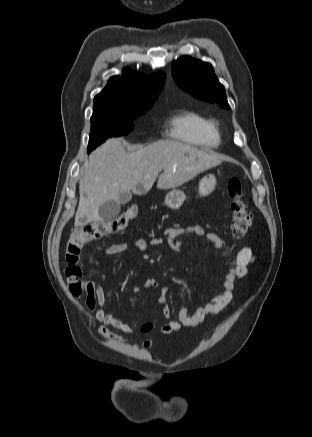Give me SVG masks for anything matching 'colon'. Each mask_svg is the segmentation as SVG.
<instances>
[{
  "label": "colon",
  "mask_w": 312,
  "mask_h": 437,
  "mask_svg": "<svg viewBox=\"0 0 312 437\" xmlns=\"http://www.w3.org/2000/svg\"><path fill=\"white\" fill-rule=\"evenodd\" d=\"M227 194L231 200L233 236L242 238L251 227L252 216L243 198V185L240 179L231 178L228 181ZM137 213V206L130 205L114 218L95 220L71 232L64 248V261L67 286L72 296L82 297L88 289V282L82 277L79 264L83 248L94 240L121 231L135 219Z\"/></svg>",
  "instance_id": "colon-1"
}]
</instances>
